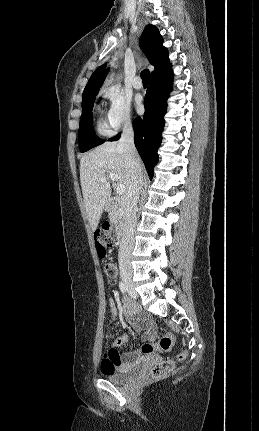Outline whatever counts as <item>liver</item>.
<instances>
[{
  "label": "liver",
  "instance_id": "obj_1",
  "mask_svg": "<svg viewBox=\"0 0 259 431\" xmlns=\"http://www.w3.org/2000/svg\"><path fill=\"white\" fill-rule=\"evenodd\" d=\"M141 169L143 170L142 165ZM110 173L117 174L119 183L128 191L131 177L119 142H105L80 160L84 206L92 231L97 229L103 210L110 201L111 186L108 178L105 182L100 181Z\"/></svg>",
  "mask_w": 259,
  "mask_h": 431
}]
</instances>
